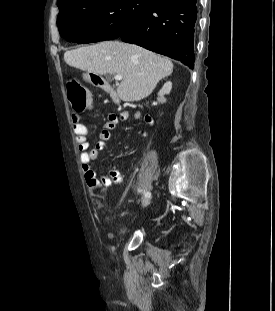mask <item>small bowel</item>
<instances>
[{"mask_svg": "<svg viewBox=\"0 0 275 311\" xmlns=\"http://www.w3.org/2000/svg\"><path fill=\"white\" fill-rule=\"evenodd\" d=\"M130 116V112L127 110L120 111L117 114H111L108 117V121L105 124V128L99 135V140L96 142L93 148L89 147L87 141L88 129L86 125L81 121V115L78 112L72 113V120L74 122V133L76 136V144L79 151V159L81 163V169L84 176V180L93 193L101 191V185H109L113 182L120 183L122 177L116 169H110L108 176H101L98 178L96 172L90 166L91 162L95 161L101 151L107 147L108 140L110 138V131L114 129L119 122L126 120ZM134 120H143L148 125H153L152 117L143 115L141 111L137 110L133 114Z\"/></svg>", "mask_w": 275, "mask_h": 311, "instance_id": "obj_1", "label": "small bowel"}]
</instances>
